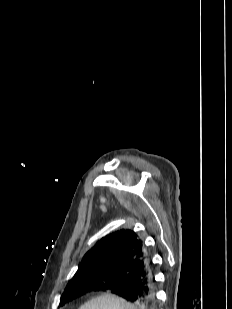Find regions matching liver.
<instances>
[{"label":"liver","mask_w":232,"mask_h":309,"mask_svg":"<svg viewBox=\"0 0 232 309\" xmlns=\"http://www.w3.org/2000/svg\"><path fill=\"white\" fill-rule=\"evenodd\" d=\"M79 309H138L124 299L112 294H103L80 306Z\"/></svg>","instance_id":"6515ba94"}]
</instances>
